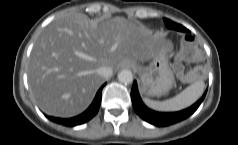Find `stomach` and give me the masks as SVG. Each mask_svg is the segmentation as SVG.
I'll return each instance as SVG.
<instances>
[{"label": "stomach", "mask_w": 238, "mask_h": 145, "mask_svg": "<svg viewBox=\"0 0 238 145\" xmlns=\"http://www.w3.org/2000/svg\"><path fill=\"white\" fill-rule=\"evenodd\" d=\"M172 45L164 41L160 53L152 58L148 66L137 71L141 80V92L146 96H162L174 85L175 78L169 65Z\"/></svg>", "instance_id": "stomach-1"}]
</instances>
